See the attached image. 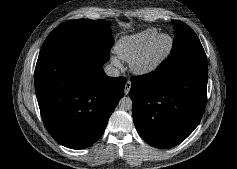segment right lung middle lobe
Returning a JSON list of instances; mask_svg holds the SVG:
<instances>
[{"mask_svg":"<svg viewBox=\"0 0 237 169\" xmlns=\"http://www.w3.org/2000/svg\"><path fill=\"white\" fill-rule=\"evenodd\" d=\"M113 43L109 22L77 19L55 28L44 41L42 48L55 45L87 44L109 51Z\"/></svg>","mask_w":237,"mask_h":169,"instance_id":"right-lung-middle-lobe-1","label":"right lung middle lobe"}]
</instances>
